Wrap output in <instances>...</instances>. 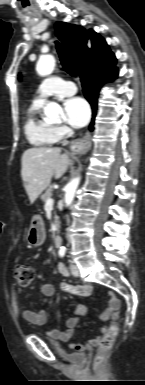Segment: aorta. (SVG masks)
Here are the masks:
<instances>
[{
  "label": "aorta",
  "mask_w": 145,
  "mask_h": 385,
  "mask_svg": "<svg viewBox=\"0 0 145 385\" xmlns=\"http://www.w3.org/2000/svg\"><path fill=\"white\" fill-rule=\"evenodd\" d=\"M55 67V59L51 55H46L41 57L36 65L37 73L40 76H47L50 75ZM62 113V108L60 105L56 102H48L46 106L44 107V114L47 118L54 119L57 118L59 114ZM80 183V177H76L72 179L66 186H65V195H64V201L66 206H70L74 200L75 192L78 188V185Z\"/></svg>",
  "instance_id": "aorta-1"
}]
</instances>
